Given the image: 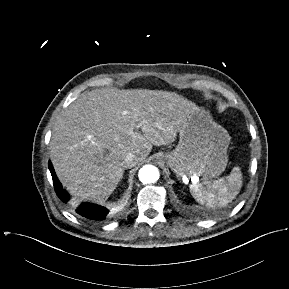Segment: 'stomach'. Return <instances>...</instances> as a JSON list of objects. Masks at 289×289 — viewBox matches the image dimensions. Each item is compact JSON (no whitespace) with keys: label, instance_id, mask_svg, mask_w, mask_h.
Masks as SVG:
<instances>
[{"label":"stomach","instance_id":"0dacf381","mask_svg":"<svg viewBox=\"0 0 289 289\" xmlns=\"http://www.w3.org/2000/svg\"><path fill=\"white\" fill-rule=\"evenodd\" d=\"M230 140L226 129L214 122L207 111L196 107L179 131L176 148L159 157L177 177L199 176L206 180L225 170Z\"/></svg>","mask_w":289,"mask_h":289}]
</instances>
